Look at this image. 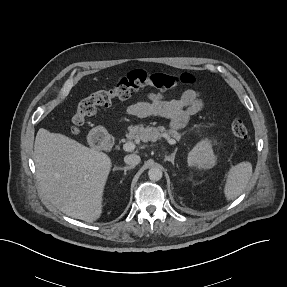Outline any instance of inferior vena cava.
<instances>
[{
  "instance_id": "1",
  "label": "inferior vena cava",
  "mask_w": 287,
  "mask_h": 287,
  "mask_svg": "<svg viewBox=\"0 0 287 287\" xmlns=\"http://www.w3.org/2000/svg\"><path fill=\"white\" fill-rule=\"evenodd\" d=\"M140 161H141L140 156L136 154H130L124 157V162L132 167L138 165Z\"/></svg>"
}]
</instances>
